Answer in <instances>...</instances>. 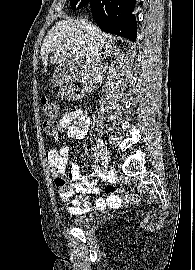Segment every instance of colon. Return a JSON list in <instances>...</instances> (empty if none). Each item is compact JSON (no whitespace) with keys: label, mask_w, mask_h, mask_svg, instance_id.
<instances>
[{"label":"colon","mask_w":195,"mask_h":270,"mask_svg":"<svg viewBox=\"0 0 195 270\" xmlns=\"http://www.w3.org/2000/svg\"><path fill=\"white\" fill-rule=\"evenodd\" d=\"M62 96L69 99H78L84 91V83L80 78L69 77L61 83ZM42 114L47 119L44 122V131L49 136H54L58 131V122L56 118L58 116L57 104L53 101H49L46 98L42 99ZM124 199L128 203H136L138 201L137 194L131 193L124 196Z\"/></svg>","instance_id":"1"}]
</instances>
